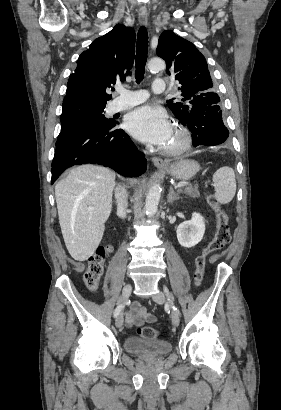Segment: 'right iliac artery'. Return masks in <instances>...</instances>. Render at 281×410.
I'll list each match as a JSON object with an SVG mask.
<instances>
[{"label": "right iliac artery", "instance_id": "right-iliac-artery-1", "mask_svg": "<svg viewBox=\"0 0 281 410\" xmlns=\"http://www.w3.org/2000/svg\"><path fill=\"white\" fill-rule=\"evenodd\" d=\"M123 307H124L123 304H119V305L116 307L115 312H114V317H116V316L120 313V311L122 310Z\"/></svg>", "mask_w": 281, "mask_h": 410}]
</instances>
